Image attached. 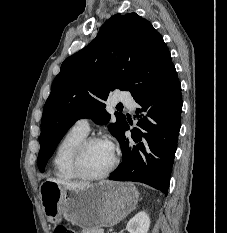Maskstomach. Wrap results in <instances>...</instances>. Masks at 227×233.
Wrapping results in <instances>:
<instances>
[{
  "label": "stomach",
  "mask_w": 227,
  "mask_h": 233,
  "mask_svg": "<svg viewBox=\"0 0 227 233\" xmlns=\"http://www.w3.org/2000/svg\"><path fill=\"white\" fill-rule=\"evenodd\" d=\"M40 197L45 216L52 224H59L64 218L96 230L120 222L136 207L139 193L128 182L103 181L69 189L46 180L40 187Z\"/></svg>",
  "instance_id": "obj_1"
}]
</instances>
